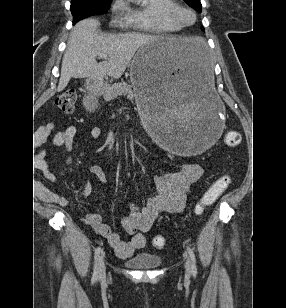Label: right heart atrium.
<instances>
[{
  "label": "right heart atrium",
  "mask_w": 286,
  "mask_h": 308,
  "mask_svg": "<svg viewBox=\"0 0 286 308\" xmlns=\"http://www.w3.org/2000/svg\"><path fill=\"white\" fill-rule=\"evenodd\" d=\"M110 8L113 18H122L127 11V2L125 0H112Z\"/></svg>",
  "instance_id": "d8ad5b80"
}]
</instances>
